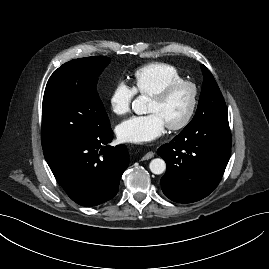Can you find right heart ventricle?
<instances>
[{
    "label": "right heart ventricle",
    "mask_w": 269,
    "mask_h": 269,
    "mask_svg": "<svg viewBox=\"0 0 269 269\" xmlns=\"http://www.w3.org/2000/svg\"><path fill=\"white\" fill-rule=\"evenodd\" d=\"M182 79L175 66L154 62L136 69L132 76V83L136 93L151 96L168 83Z\"/></svg>",
    "instance_id": "obj_1"
}]
</instances>
